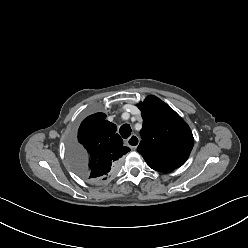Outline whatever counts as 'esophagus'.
<instances>
[{"instance_id":"34e87169","label":"esophagus","mask_w":248,"mask_h":248,"mask_svg":"<svg viewBox=\"0 0 248 248\" xmlns=\"http://www.w3.org/2000/svg\"><path fill=\"white\" fill-rule=\"evenodd\" d=\"M140 140L139 137L135 134L131 135L128 139H127V145L131 148V149H136L138 144H139Z\"/></svg>"}]
</instances>
